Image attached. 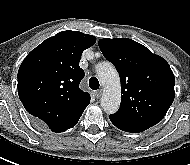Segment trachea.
<instances>
[{
	"label": "trachea",
	"mask_w": 190,
	"mask_h": 165,
	"mask_svg": "<svg viewBox=\"0 0 190 165\" xmlns=\"http://www.w3.org/2000/svg\"><path fill=\"white\" fill-rule=\"evenodd\" d=\"M99 81L96 77H91L89 80V87L93 90H97L99 88Z\"/></svg>",
	"instance_id": "obj_1"
}]
</instances>
